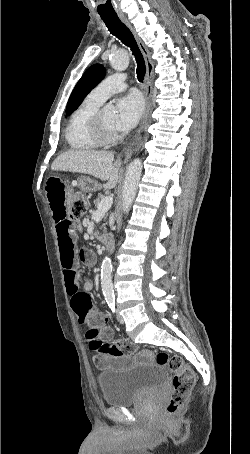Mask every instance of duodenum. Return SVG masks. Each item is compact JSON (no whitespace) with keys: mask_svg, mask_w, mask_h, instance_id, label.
Masks as SVG:
<instances>
[{"mask_svg":"<svg viewBox=\"0 0 250 454\" xmlns=\"http://www.w3.org/2000/svg\"><path fill=\"white\" fill-rule=\"evenodd\" d=\"M102 243L106 248H109L113 244V236L111 233H104L102 235Z\"/></svg>","mask_w":250,"mask_h":454,"instance_id":"1","label":"duodenum"}]
</instances>
